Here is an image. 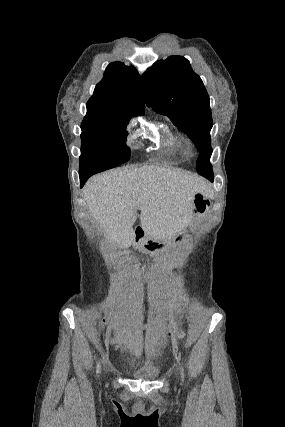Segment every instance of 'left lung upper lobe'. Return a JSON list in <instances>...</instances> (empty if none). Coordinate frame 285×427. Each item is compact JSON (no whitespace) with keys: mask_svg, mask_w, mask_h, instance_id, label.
<instances>
[{"mask_svg":"<svg viewBox=\"0 0 285 427\" xmlns=\"http://www.w3.org/2000/svg\"><path fill=\"white\" fill-rule=\"evenodd\" d=\"M145 102L167 115L195 143L200 152L197 172L213 181L210 130L213 126L209 96L187 59L170 56L159 60L142 75Z\"/></svg>","mask_w":285,"mask_h":427,"instance_id":"5c2ea615","label":"left lung upper lobe"}]
</instances>
